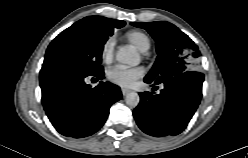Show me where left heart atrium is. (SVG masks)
Returning a JSON list of instances; mask_svg holds the SVG:
<instances>
[{
	"instance_id": "39dd6f15",
	"label": "left heart atrium",
	"mask_w": 248,
	"mask_h": 158,
	"mask_svg": "<svg viewBox=\"0 0 248 158\" xmlns=\"http://www.w3.org/2000/svg\"><path fill=\"white\" fill-rule=\"evenodd\" d=\"M143 76V69L140 67H124L121 65H115L107 71V79L109 82L128 87L134 83L135 80Z\"/></svg>"
}]
</instances>
